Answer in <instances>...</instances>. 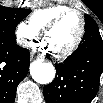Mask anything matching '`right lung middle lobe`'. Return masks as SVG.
I'll return each instance as SVG.
<instances>
[{
    "label": "right lung middle lobe",
    "mask_w": 103,
    "mask_h": 103,
    "mask_svg": "<svg viewBox=\"0 0 103 103\" xmlns=\"http://www.w3.org/2000/svg\"><path fill=\"white\" fill-rule=\"evenodd\" d=\"M31 10L0 7V40L16 41L15 28Z\"/></svg>",
    "instance_id": "obj_1"
}]
</instances>
